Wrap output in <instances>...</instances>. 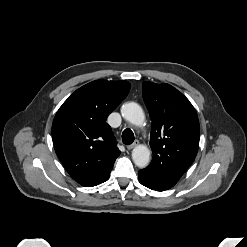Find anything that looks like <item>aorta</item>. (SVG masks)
Masks as SVG:
<instances>
[{"label":"aorta","instance_id":"762f6f07","mask_svg":"<svg viewBox=\"0 0 247 247\" xmlns=\"http://www.w3.org/2000/svg\"><path fill=\"white\" fill-rule=\"evenodd\" d=\"M121 114L128 122L141 126L145 121L142 107L135 102H127L121 107ZM150 150L145 145H137L132 151V159L136 166L145 168L150 162Z\"/></svg>","mask_w":247,"mask_h":247}]
</instances>
